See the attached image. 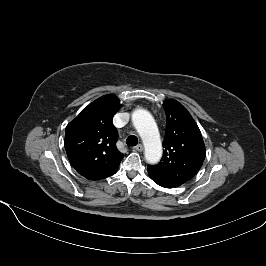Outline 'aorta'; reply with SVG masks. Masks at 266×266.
Returning <instances> with one entry per match:
<instances>
[{"instance_id": "obj_1", "label": "aorta", "mask_w": 266, "mask_h": 266, "mask_svg": "<svg viewBox=\"0 0 266 266\" xmlns=\"http://www.w3.org/2000/svg\"><path fill=\"white\" fill-rule=\"evenodd\" d=\"M132 122L143 141L147 162L157 163L162 156V145L152 115L147 110L136 109L132 114Z\"/></svg>"}]
</instances>
